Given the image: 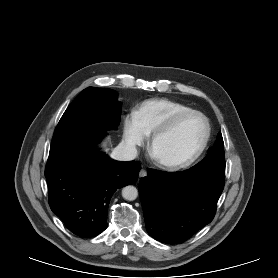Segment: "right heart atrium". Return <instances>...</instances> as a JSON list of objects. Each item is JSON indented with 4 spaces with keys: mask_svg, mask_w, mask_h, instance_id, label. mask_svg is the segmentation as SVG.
Wrapping results in <instances>:
<instances>
[{
    "mask_svg": "<svg viewBox=\"0 0 278 278\" xmlns=\"http://www.w3.org/2000/svg\"><path fill=\"white\" fill-rule=\"evenodd\" d=\"M122 137L130 149H136L146 142L148 134L142 127L135 111H131L123 117Z\"/></svg>",
    "mask_w": 278,
    "mask_h": 278,
    "instance_id": "obj_1",
    "label": "right heart atrium"
}]
</instances>
